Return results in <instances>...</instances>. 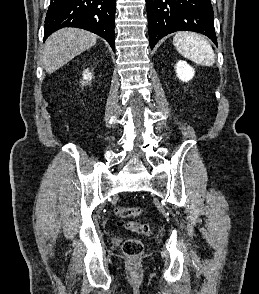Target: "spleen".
<instances>
[{"mask_svg": "<svg viewBox=\"0 0 259 294\" xmlns=\"http://www.w3.org/2000/svg\"><path fill=\"white\" fill-rule=\"evenodd\" d=\"M177 51L185 58L203 66L215 63V54L209 42L196 33L179 32L173 38Z\"/></svg>", "mask_w": 259, "mask_h": 294, "instance_id": "1", "label": "spleen"}]
</instances>
